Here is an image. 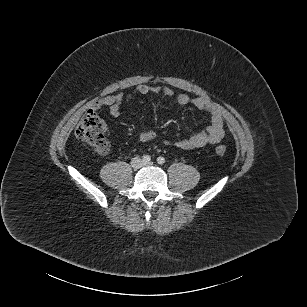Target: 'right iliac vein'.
<instances>
[{"instance_id":"63e3f726","label":"right iliac vein","mask_w":307,"mask_h":307,"mask_svg":"<svg viewBox=\"0 0 307 307\" xmlns=\"http://www.w3.org/2000/svg\"><path fill=\"white\" fill-rule=\"evenodd\" d=\"M142 165V161L139 159V158H134L131 162V166L134 168V169H138L140 168Z\"/></svg>"}]
</instances>
